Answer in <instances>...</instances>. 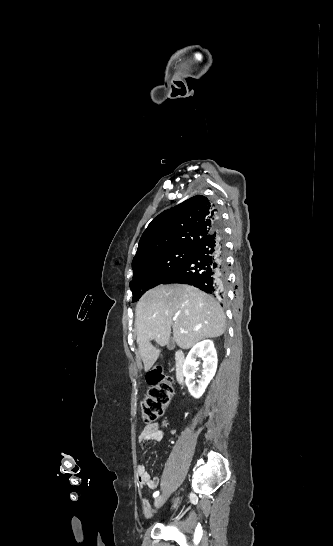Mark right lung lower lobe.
<instances>
[{"mask_svg":"<svg viewBox=\"0 0 333 546\" xmlns=\"http://www.w3.org/2000/svg\"><path fill=\"white\" fill-rule=\"evenodd\" d=\"M226 248L220 225L193 246L190 256L160 284H189L206 293L223 297L228 282Z\"/></svg>","mask_w":333,"mask_h":546,"instance_id":"98d812e1","label":"right lung lower lobe"}]
</instances>
